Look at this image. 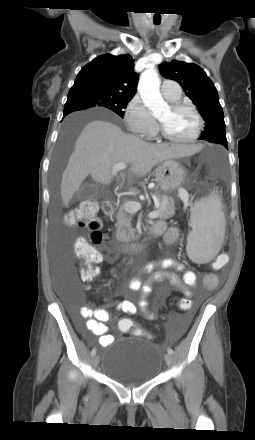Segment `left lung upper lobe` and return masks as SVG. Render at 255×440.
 I'll use <instances>...</instances> for the list:
<instances>
[{
	"label": "left lung upper lobe",
	"mask_w": 255,
	"mask_h": 440,
	"mask_svg": "<svg viewBox=\"0 0 255 440\" xmlns=\"http://www.w3.org/2000/svg\"><path fill=\"white\" fill-rule=\"evenodd\" d=\"M161 74L177 81L199 109L206 126L199 139L228 147L222 107L217 90L203 69L193 63L172 61L160 65Z\"/></svg>",
	"instance_id": "1"
}]
</instances>
